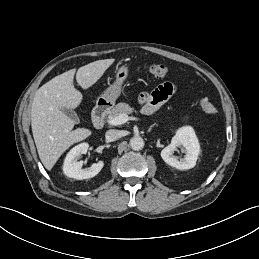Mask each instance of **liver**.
<instances>
[{"label":"liver","mask_w":259,"mask_h":259,"mask_svg":"<svg viewBox=\"0 0 259 259\" xmlns=\"http://www.w3.org/2000/svg\"><path fill=\"white\" fill-rule=\"evenodd\" d=\"M114 59L97 60L80 67L76 81L88 89L95 84L113 64ZM76 70L60 74L43 86L34 97L31 107V126L39 158L47 170H51L59 157L74 143L92 134L86 128L73 130L75 122L66 116L62 109L77 108L82 94L73 84Z\"/></svg>","instance_id":"1"}]
</instances>
